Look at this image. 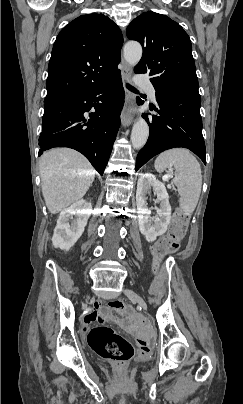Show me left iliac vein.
<instances>
[{
  "mask_svg": "<svg viewBox=\"0 0 243 404\" xmlns=\"http://www.w3.org/2000/svg\"><path fill=\"white\" fill-rule=\"evenodd\" d=\"M124 293L130 299L136 301L144 310H147L148 307H147L145 300L140 295H138L135 291L130 290V289H125Z\"/></svg>",
  "mask_w": 243,
  "mask_h": 404,
  "instance_id": "obj_1",
  "label": "left iliac vein"
}]
</instances>
